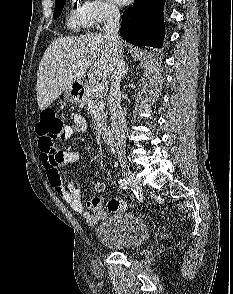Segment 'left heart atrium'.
<instances>
[{"instance_id": "left-heart-atrium-1", "label": "left heart atrium", "mask_w": 233, "mask_h": 294, "mask_svg": "<svg viewBox=\"0 0 233 294\" xmlns=\"http://www.w3.org/2000/svg\"><path fill=\"white\" fill-rule=\"evenodd\" d=\"M119 5H126L130 3L131 0H114Z\"/></svg>"}]
</instances>
